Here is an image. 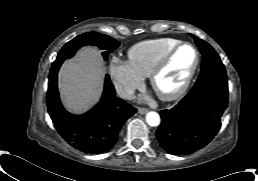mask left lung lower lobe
<instances>
[{"instance_id":"obj_1","label":"left lung lower lobe","mask_w":258,"mask_h":181,"mask_svg":"<svg viewBox=\"0 0 258 181\" xmlns=\"http://www.w3.org/2000/svg\"><path fill=\"white\" fill-rule=\"evenodd\" d=\"M227 103L226 77L196 81L175 107L160 111L162 122L156 131L160 146L174 155H188L203 148L219 131Z\"/></svg>"}]
</instances>
